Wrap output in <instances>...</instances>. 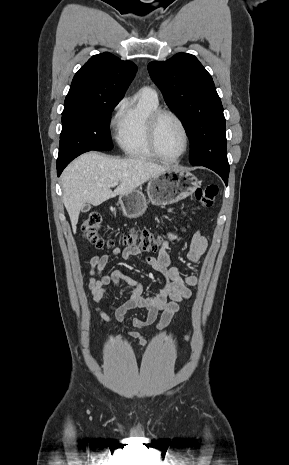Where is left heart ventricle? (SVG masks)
Instances as JSON below:
<instances>
[{"mask_svg": "<svg viewBox=\"0 0 289 465\" xmlns=\"http://www.w3.org/2000/svg\"><path fill=\"white\" fill-rule=\"evenodd\" d=\"M184 145V134L178 122L170 116L163 117L158 130V146L162 155L174 158L183 151Z\"/></svg>", "mask_w": 289, "mask_h": 465, "instance_id": "b2bd125f", "label": "left heart ventricle"}]
</instances>
